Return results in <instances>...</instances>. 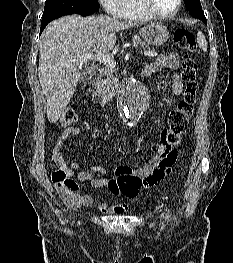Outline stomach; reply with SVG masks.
Returning a JSON list of instances; mask_svg holds the SVG:
<instances>
[{
	"label": "stomach",
	"mask_w": 233,
	"mask_h": 263,
	"mask_svg": "<svg viewBox=\"0 0 233 263\" xmlns=\"http://www.w3.org/2000/svg\"><path fill=\"white\" fill-rule=\"evenodd\" d=\"M139 33L149 45H162L169 38L167 28L159 23H151L140 29Z\"/></svg>",
	"instance_id": "0dacf381"
}]
</instances>
